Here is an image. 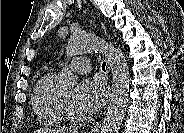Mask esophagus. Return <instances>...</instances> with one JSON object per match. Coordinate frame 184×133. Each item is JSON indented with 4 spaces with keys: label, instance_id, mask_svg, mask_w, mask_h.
Segmentation results:
<instances>
[{
    "label": "esophagus",
    "instance_id": "esophagus-1",
    "mask_svg": "<svg viewBox=\"0 0 184 133\" xmlns=\"http://www.w3.org/2000/svg\"><path fill=\"white\" fill-rule=\"evenodd\" d=\"M110 96H112V91L110 90ZM101 127V122H98L97 124L94 125V127L92 128V132L93 133H97L99 131Z\"/></svg>",
    "mask_w": 184,
    "mask_h": 133
}]
</instances>
